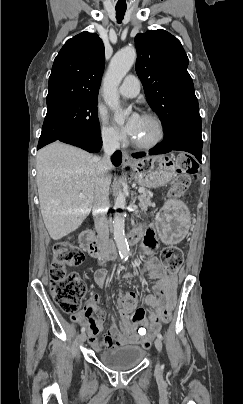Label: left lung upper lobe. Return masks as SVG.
<instances>
[{"instance_id": "obj_1", "label": "left lung upper lobe", "mask_w": 243, "mask_h": 404, "mask_svg": "<svg viewBox=\"0 0 243 404\" xmlns=\"http://www.w3.org/2000/svg\"><path fill=\"white\" fill-rule=\"evenodd\" d=\"M135 46L137 75L164 131L180 119L201 118L193 81L187 71L188 57L180 41L158 29L138 34Z\"/></svg>"}]
</instances>
